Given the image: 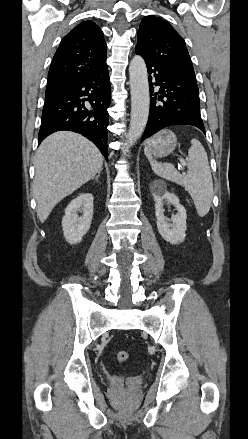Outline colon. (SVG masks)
Wrapping results in <instances>:
<instances>
[{"label":"colon","instance_id":"1","mask_svg":"<svg viewBox=\"0 0 248 439\" xmlns=\"http://www.w3.org/2000/svg\"><path fill=\"white\" fill-rule=\"evenodd\" d=\"M116 359L119 362H125V361H127L129 359V353L126 352V351H119L116 354Z\"/></svg>","mask_w":248,"mask_h":439}]
</instances>
